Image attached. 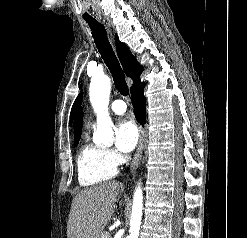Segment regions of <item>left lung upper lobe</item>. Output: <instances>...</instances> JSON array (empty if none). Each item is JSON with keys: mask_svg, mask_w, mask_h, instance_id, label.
I'll return each instance as SVG.
<instances>
[{"mask_svg": "<svg viewBox=\"0 0 247 238\" xmlns=\"http://www.w3.org/2000/svg\"><path fill=\"white\" fill-rule=\"evenodd\" d=\"M81 100H82V95L80 94L74 104H73V107H72V110H71V114H70V122H72L73 120V116L75 115V112H76V109L79 107L80 103H81Z\"/></svg>", "mask_w": 247, "mask_h": 238, "instance_id": "left-lung-upper-lobe-1", "label": "left lung upper lobe"}]
</instances>
